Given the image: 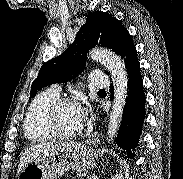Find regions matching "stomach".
I'll list each match as a JSON object with an SVG mask.
<instances>
[{"label":"stomach","mask_w":183,"mask_h":179,"mask_svg":"<svg viewBox=\"0 0 183 179\" xmlns=\"http://www.w3.org/2000/svg\"><path fill=\"white\" fill-rule=\"evenodd\" d=\"M99 151L79 143L56 142L29 162L19 179H56L68 170L82 172L93 168Z\"/></svg>","instance_id":"1"}]
</instances>
